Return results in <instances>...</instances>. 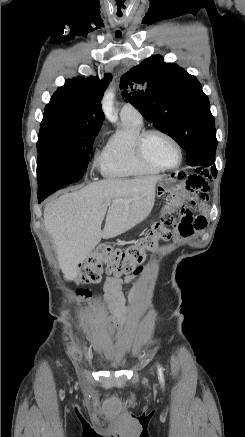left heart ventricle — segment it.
Instances as JSON below:
<instances>
[{"mask_svg": "<svg viewBox=\"0 0 245 437\" xmlns=\"http://www.w3.org/2000/svg\"><path fill=\"white\" fill-rule=\"evenodd\" d=\"M147 156L164 166H172L178 161V152L175 146L161 135H150L145 141Z\"/></svg>", "mask_w": 245, "mask_h": 437, "instance_id": "1", "label": "left heart ventricle"}]
</instances>
